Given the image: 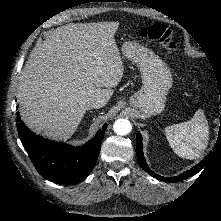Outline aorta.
Wrapping results in <instances>:
<instances>
[{"label": "aorta", "mask_w": 221, "mask_h": 221, "mask_svg": "<svg viewBox=\"0 0 221 221\" xmlns=\"http://www.w3.org/2000/svg\"><path fill=\"white\" fill-rule=\"evenodd\" d=\"M113 128L118 135H126L130 133L132 126L127 119H118L115 121Z\"/></svg>", "instance_id": "1"}]
</instances>
